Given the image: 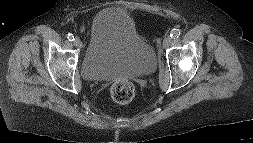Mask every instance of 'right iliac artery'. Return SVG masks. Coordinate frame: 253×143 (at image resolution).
<instances>
[{
	"label": "right iliac artery",
	"mask_w": 253,
	"mask_h": 143,
	"mask_svg": "<svg viewBox=\"0 0 253 143\" xmlns=\"http://www.w3.org/2000/svg\"><path fill=\"white\" fill-rule=\"evenodd\" d=\"M67 38H68L69 41H74L75 40L74 35L71 34V33L68 34Z\"/></svg>",
	"instance_id": "1"
}]
</instances>
